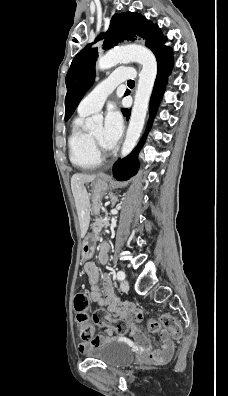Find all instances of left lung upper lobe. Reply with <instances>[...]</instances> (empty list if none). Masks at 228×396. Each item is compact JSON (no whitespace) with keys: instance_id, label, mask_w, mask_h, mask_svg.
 Returning <instances> with one entry per match:
<instances>
[{"instance_id":"5c2ea615","label":"left lung upper lobe","mask_w":228,"mask_h":396,"mask_svg":"<svg viewBox=\"0 0 228 396\" xmlns=\"http://www.w3.org/2000/svg\"><path fill=\"white\" fill-rule=\"evenodd\" d=\"M161 35L158 25L153 24L141 14L128 11L115 14L108 31L105 34L101 33L94 43L104 38L103 48L109 49L118 42L135 41L140 37L145 40V46L148 47L155 38ZM92 44H88L74 57L66 75L65 120L71 117L85 92L94 82L98 52L97 48H91Z\"/></svg>"}]
</instances>
